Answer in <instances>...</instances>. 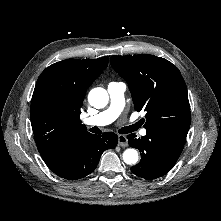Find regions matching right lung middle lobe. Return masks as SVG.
I'll use <instances>...</instances> for the list:
<instances>
[{"label":"right lung middle lobe","instance_id":"1","mask_svg":"<svg viewBox=\"0 0 221 221\" xmlns=\"http://www.w3.org/2000/svg\"><path fill=\"white\" fill-rule=\"evenodd\" d=\"M45 99L52 106H62L64 104V96L55 89L46 90Z\"/></svg>","mask_w":221,"mask_h":221}]
</instances>
